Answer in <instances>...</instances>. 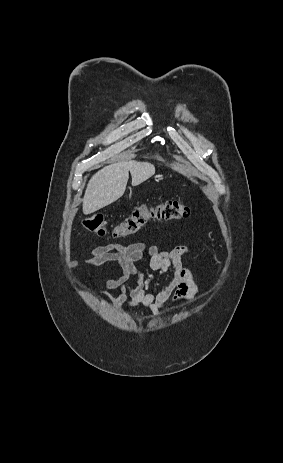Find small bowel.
Wrapping results in <instances>:
<instances>
[{
    "instance_id": "c3829d8e",
    "label": "small bowel",
    "mask_w": 283,
    "mask_h": 463,
    "mask_svg": "<svg viewBox=\"0 0 283 463\" xmlns=\"http://www.w3.org/2000/svg\"><path fill=\"white\" fill-rule=\"evenodd\" d=\"M189 249L178 245L170 252L159 250L156 246H147L144 242L129 245L107 244L94 248L91 257L85 260L72 261L71 267L82 266L88 270L87 278L92 275V268L108 262L117 263L122 274L115 279H107L102 284L100 296L109 300L118 309L142 306L153 315L165 309L172 297L173 302L193 299L201 290L192 271L183 266V258ZM147 260V271L138 269L136 262ZM168 278L164 280V276ZM135 277L136 285L129 284ZM117 290L116 296L107 291Z\"/></svg>"
}]
</instances>
